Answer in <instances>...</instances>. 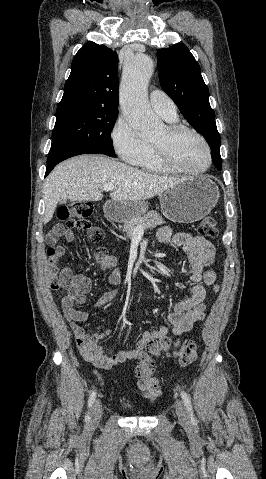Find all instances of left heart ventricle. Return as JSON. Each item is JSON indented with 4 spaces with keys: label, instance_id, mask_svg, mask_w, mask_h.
Masks as SVG:
<instances>
[{
    "label": "left heart ventricle",
    "instance_id": "b2bd125f",
    "mask_svg": "<svg viewBox=\"0 0 266 479\" xmlns=\"http://www.w3.org/2000/svg\"><path fill=\"white\" fill-rule=\"evenodd\" d=\"M152 140L166 142L168 153L178 167L199 170L206 165L207 157L202 143L189 132L167 137L165 127H163Z\"/></svg>",
    "mask_w": 266,
    "mask_h": 479
}]
</instances>
